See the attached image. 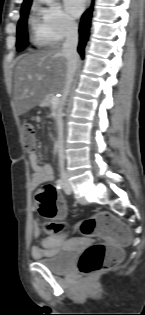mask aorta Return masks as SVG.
Wrapping results in <instances>:
<instances>
[{"label": "aorta", "mask_w": 145, "mask_h": 315, "mask_svg": "<svg viewBox=\"0 0 145 315\" xmlns=\"http://www.w3.org/2000/svg\"><path fill=\"white\" fill-rule=\"evenodd\" d=\"M44 1H46V2H48V3H51L53 0H44Z\"/></svg>", "instance_id": "aorta-1"}]
</instances>
